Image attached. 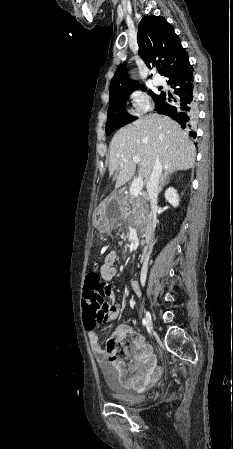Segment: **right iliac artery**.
Returning a JSON list of instances; mask_svg holds the SVG:
<instances>
[{"label": "right iliac artery", "mask_w": 233, "mask_h": 449, "mask_svg": "<svg viewBox=\"0 0 233 449\" xmlns=\"http://www.w3.org/2000/svg\"><path fill=\"white\" fill-rule=\"evenodd\" d=\"M143 325L146 326L147 328H149V327H148V324H147V322H146V319H143Z\"/></svg>", "instance_id": "82829eb1"}]
</instances>
